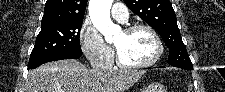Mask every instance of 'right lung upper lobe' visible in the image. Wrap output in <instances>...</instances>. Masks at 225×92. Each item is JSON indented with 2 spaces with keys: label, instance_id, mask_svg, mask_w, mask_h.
<instances>
[{
  "label": "right lung upper lobe",
  "instance_id": "1",
  "mask_svg": "<svg viewBox=\"0 0 225 92\" xmlns=\"http://www.w3.org/2000/svg\"><path fill=\"white\" fill-rule=\"evenodd\" d=\"M87 0H47L42 24L83 22Z\"/></svg>",
  "mask_w": 225,
  "mask_h": 92
}]
</instances>
